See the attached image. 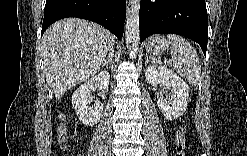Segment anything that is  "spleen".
I'll use <instances>...</instances> for the list:
<instances>
[{"label":"spleen","mask_w":247,"mask_h":156,"mask_svg":"<svg viewBox=\"0 0 247 156\" xmlns=\"http://www.w3.org/2000/svg\"><path fill=\"white\" fill-rule=\"evenodd\" d=\"M171 47V62L175 70L186 77L190 85L196 86L201 77V65L196 50L183 37L175 34L167 35Z\"/></svg>","instance_id":"3e777b00"}]
</instances>
